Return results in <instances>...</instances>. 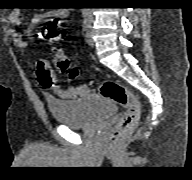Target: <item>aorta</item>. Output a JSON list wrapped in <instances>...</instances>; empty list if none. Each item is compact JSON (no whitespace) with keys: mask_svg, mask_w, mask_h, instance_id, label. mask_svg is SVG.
<instances>
[{"mask_svg":"<svg viewBox=\"0 0 192 180\" xmlns=\"http://www.w3.org/2000/svg\"><path fill=\"white\" fill-rule=\"evenodd\" d=\"M84 10H85V12H86L88 15L91 14V11H90L91 9H90V8H85Z\"/></svg>","mask_w":192,"mask_h":180,"instance_id":"762f6f07","label":"aorta"}]
</instances>
